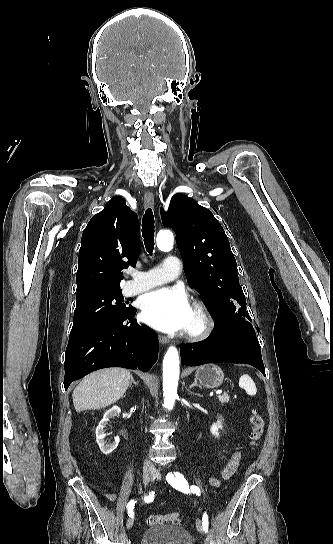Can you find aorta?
Listing matches in <instances>:
<instances>
[{"label":"aorta","mask_w":333,"mask_h":544,"mask_svg":"<svg viewBox=\"0 0 333 544\" xmlns=\"http://www.w3.org/2000/svg\"><path fill=\"white\" fill-rule=\"evenodd\" d=\"M157 247L166 250L173 246V234L168 230L157 234ZM179 379V354L176 347L168 348L163 360V395L164 406L172 409L177 398V386Z\"/></svg>","instance_id":"762f6f07"}]
</instances>
